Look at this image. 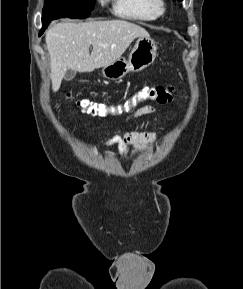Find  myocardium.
<instances>
[{"label":"myocardium","instance_id":"obj_1","mask_svg":"<svg viewBox=\"0 0 243 289\" xmlns=\"http://www.w3.org/2000/svg\"><path fill=\"white\" fill-rule=\"evenodd\" d=\"M154 7L159 14H162L166 11V3L165 0H153Z\"/></svg>","mask_w":243,"mask_h":289}]
</instances>
